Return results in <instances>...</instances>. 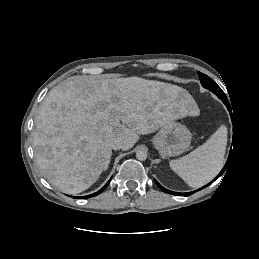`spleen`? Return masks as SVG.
Returning a JSON list of instances; mask_svg holds the SVG:
<instances>
[{"mask_svg":"<svg viewBox=\"0 0 259 259\" xmlns=\"http://www.w3.org/2000/svg\"><path fill=\"white\" fill-rule=\"evenodd\" d=\"M227 145V128L220 126L201 146L186 156L170 161L171 169L189 186L200 187L222 169Z\"/></svg>","mask_w":259,"mask_h":259,"instance_id":"3e777b00","label":"spleen"}]
</instances>
